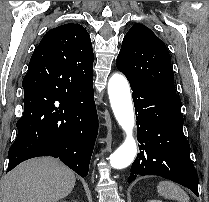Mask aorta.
I'll return each instance as SVG.
<instances>
[{
    "label": "aorta",
    "mask_w": 209,
    "mask_h": 202,
    "mask_svg": "<svg viewBox=\"0 0 209 202\" xmlns=\"http://www.w3.org/2000/svg\"><path fill=\"white\" fill-rule=\"evenodd\" d=\"M108 95L114 116L125 132L124 142L110 156L113 168L123 169L129 166L137 154V143L134 136L135 114L127 79L115 73L108 81Z\"/></svg>",
    "instance_id": "aorta-1"
}]
</instances>
